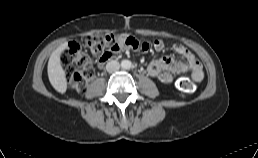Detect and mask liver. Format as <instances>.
<instances>
[{
  "instance_id": "obj_1",
  "label": "liver",
  "mask_w": 258,
  "mask_h": 158,
  "mask_svg": "<svg viewBox=\"0 0 258 158\" xmlns=\"http://www.w3.org/2000/svg\"><path fill=\"white\" fill-rule=\"evenodd\" d=\"M67 48V42L61 44L50 55L47 72L48 78L53 88L59 93H65L67 89V80L65 71L61 65V54Z\"/></svg>"
}]
</instances>
